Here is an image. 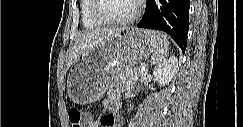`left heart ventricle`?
Wrapping results in <instances>:
<instances>
[{"label": "left heart ventricle", "mask_w": 243, "mask_h": 127, "mask_svg": "<svg viewBox=\"0 0 243 127\" xmlns=\"http://www.w3.org/2000/svg\"><path fill=\"white\" fill-rule=\"evenodd\" d=\"M103 15L111 19H122L133 14L136 0H101Z\"/></svg>", "instance_id": "1"}]
</instances>
